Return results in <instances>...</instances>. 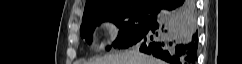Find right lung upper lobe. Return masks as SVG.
I'll use <instances>...</instances> for the list:
<instances>
[{"label":"right lung upper lobe","instance_id":"obj_1","mask_svg":"<svg viewBox=\"0 0 242 64\" xmlns=\"http://www.w3.org/2000/svg\"><path fill=\"white\" fill-rule=\"evenodd\" d=\"M161 0H87L83 18L92 15L128 10L137 7L157 9Z\"/></svg>","mask_w":242,"mask_h":64}]
</instances>
